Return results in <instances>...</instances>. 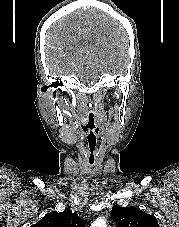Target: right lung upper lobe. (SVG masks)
Listing matches in <instances>:
<instances>
[{"mask_svg":"<svg viewBox=\"0 0 179 227\" xmlns=\"http://www.w3.org/2000/svg\"><path fill=\"white\" fill-rule=\"evenodd\" d=\"M31 227H85L77 212L66 208L63 212L47 213L39 222Z\"/></svg>","mask_w":179,"mask_h":227,"instance_id":"right-lung-upper-lobe-1","label":"right lung upper lobe"}]
</instances>
